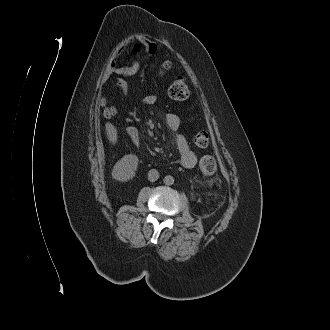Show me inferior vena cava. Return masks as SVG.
<instances>
[{
    "label": "inferior vena cava",
    "mask_w": 330,
    "mask_h": 330,
    "mask_svg": "<svg viewBox=\"0 0 330 330\" xmlns=\"http://www.w3.org/2000/svg\"><path fill=\"white\" fill-rule=\"evenodd\" d=\"M159 178V172L156 169H151L148 172V180L151 182H154L156 180H158Z\"/></svg>",
    "instance_id": "obj_1"
}]
</instances>
